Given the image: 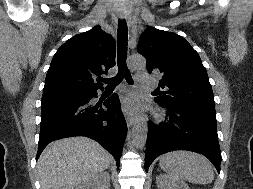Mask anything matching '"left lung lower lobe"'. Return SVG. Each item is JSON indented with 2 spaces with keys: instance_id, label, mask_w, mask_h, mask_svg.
I'll return each instance as SVG.
<instances>
[{
  "instance_id": "0a47b994",
  "label": "left lung lower lobe",
  "mask_w": 253,
  "mask_h": 189,
  "mask_svg": "<svg viewBox=\"0 0 253 189\" xmlns=\"http://www.w3.org/2000/svg\"><path fill=\"white\" fill-rule=\"evenodd\" d=\"M162 106L169 111V122L159 126L149 124L146 172L156 157L174 150L198 152L206 156L220 172L221 151L216 130V113L189 106Z\"/></svg>"
}]
</instances>
